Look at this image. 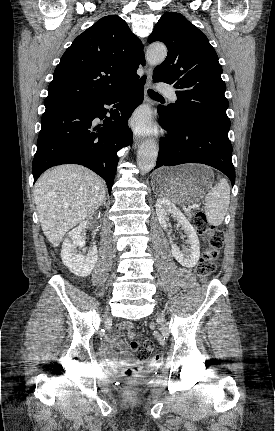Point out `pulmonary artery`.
I'll return each mask as SVG.
<instances>
[{
	"instance_id": "1",
	"label": "pulmonary artery",
	"mask_w": 275,
	"mask_h": 431,
	"mask_svg": "<svg viewBox=\"0 0 275 431\" xmlns=\"http://www.w3.org/2000/svg\"><path fill=\"white\" fill-rule=\"evenodd\" d=\"M158 89L160 92L168 95L172 101H176L177 97L173 88L167 84H159Z\"/></svg>"
}]
</instances>
